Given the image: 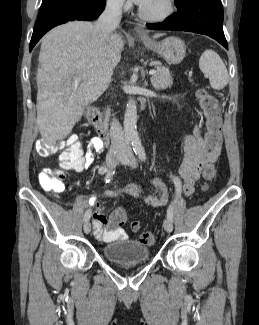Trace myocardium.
Listing matches in <instances>:
<instances>
[{
	"label": "myocardium",
	"instance_id": "obj_1",
	"mask_svg": "<svg viewBox=\"0 0 259 325\" xmlns=\"http://www.w3.org/2000/svg\"><path fill=\"white\" fill-rule=\"evenodd\" d=\"M175 2L174 0H163V8L160 12L151 13L145 9V7H141L139 9L140 16L151 22H162L170 18L175 12Z\"/></svg>",
	"mask_w": 259,
	"mask_h": 325
}]
</instances>
